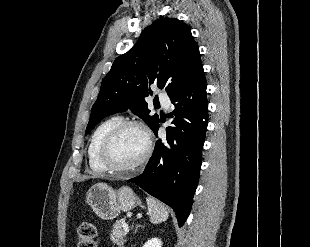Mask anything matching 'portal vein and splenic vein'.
Returning a JSON list of instances; mask_svg holds the SVG:
<instances>
[{
  "label": "portal vein and splenic vein",
  "instance_id": "18ae733b",
  "mask_svg": "<svg viewBox=\"0 0 310 247\" xmlns=\"http://www.w3.org/2000/svg\"><path fill=\"white\" fill-rule=\"evenodd\" d=\"M123 230H124L125 232H129V227H128L127 224H123Z\"/></svg>",
  "mask_w": 310,
  "mask_h": 247
}]
</instances>
